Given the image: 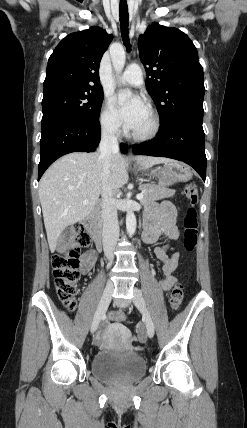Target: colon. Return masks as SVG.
<instances>
[{
  "mask_svg": "<svg viewBox=\"0 0 247 428\" xmlns=\"http://www.w3.org/2000/svg\"><path fill=\"white\" fill-rule=\"evenodd\" d=\"M185 195L190 207L184 218L183 247L191 252L197 244L198 218L195 206L198 203V192L195 185L190 184L185 188ZM90 243V235L82 225L71 227L67 241L53 254L51 258L52 273L58 298L69 310L76 305L78 292V280L80 276V248ZM184 297V286L176 283L170 293V305L177 310ZM109 319L118 324H123L127 319L126 312L114 311L109 314Z\"/></svg>",
  "mask_w": 247,
  "mask_h": 428,
  "instance_id": "1",
  "label": "colon"
}]
</instances>
